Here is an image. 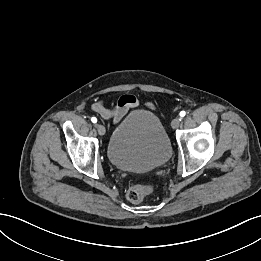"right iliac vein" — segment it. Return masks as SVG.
Returning <instances> with one entry per match:
<instances>
[{
	"label": "right iliac vein",
	"mask_w": 261,
	"mask_h": 261,
	"mask_svg": "<svg viewBox=\"0 0 261 261\" xmlns=\"http://www.w3.org/2000/svg\"><path fill=\"white\" fill-rule=\"evenodd\" d=\"M95 127H96L99 135L103 136L105 134L106 130H105V127L103 125L96 124Z\"/></svg>",
	"instance_id": "obj_1"
}]
</instances>
